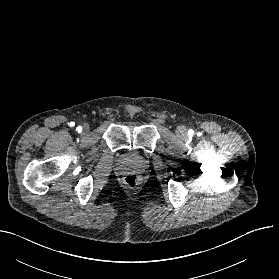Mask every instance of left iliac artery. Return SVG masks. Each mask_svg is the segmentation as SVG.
I'll list each match as a JSON object with an SVG mask.
<instances>
[{
  "label": "left iliac artery",
  "instance_id": "1",
  "mask_svg": "<svg viewBox=\"0 0 279 279\" xmlns=\"http://www.w3.org/2000/svg\"><path fill=\"white\" fill-rule=\"evenodd\" d=\"M188 133H189V135H192L193 134V130H189Z\"/></svg>",
  "mask_w": 279,
  "mask_h": 279
}]
</instances>
